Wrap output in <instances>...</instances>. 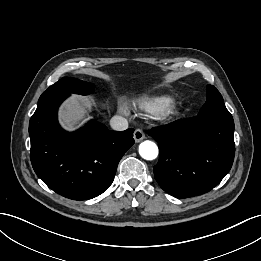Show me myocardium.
<instances>
[{"instance_id": "1", "label": "myocardium", "mask_w": 261, "mask_h": 261, "mask_svg": "<svg viewBox=\"0 0 261 261\" xmlns=\"http://www.w3.org/2000/svg\"><path fill=\"white\" fill-rule=\"evenodd\" d=\"M179 114V108L174 103H169L160 111V118L168 121L174 119Z\"/></svg>"}]
</instances>
